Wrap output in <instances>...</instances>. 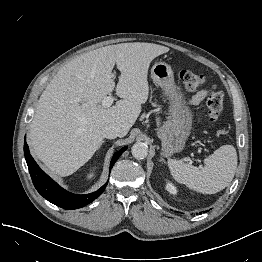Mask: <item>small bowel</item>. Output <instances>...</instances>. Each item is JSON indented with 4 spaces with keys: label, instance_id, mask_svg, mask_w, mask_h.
Listing matches in <instances>:
<instances>
[{
    "label": "small bowel",
    "instance_id": "obj_1",
    "mask_svg": "<svg viewBox=\"0 0 262 262\" xmlns=\"http://www.w3.org/2000/svg\"><path fill=\"white\" fill-rule=\"evenodd\" d=\"M207 94L208 93H207L206 90H199L198 92H196L193 95L190 103L194 104V105L201 103L202 101H204V99L206 98Z\"/></svg>",
    "mask_w": 262,
    "mask_h": 262
}]
</instances>
